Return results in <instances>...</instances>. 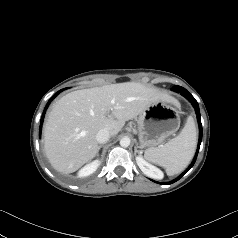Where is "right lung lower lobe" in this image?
Wrapping results in <instances>:
<instances>
[{"label":"right lung lower lobe","instance_id":"98d812e1","mask_svg":"<svg viewBox=\"0 0 238 238\" xmlns=\"http://www.w3.org/2000/svg\"><path fill=\"white\" fill-rule=\"evenodd\" d=\"M64 89H62V90H60V91H58L56 94H54L53 96H52V98L48 101V103H47V105H46V107H45V109H44V111H43V115H42V117H41V123H40V132H39V135H41V129H42V124H43V119H44V114H45V112H46V110H47V108H48V106H49V104H50V102L60 93V92H62Z\"/></svg>","mask_w":238,"mask_h":238}]
</instances>
